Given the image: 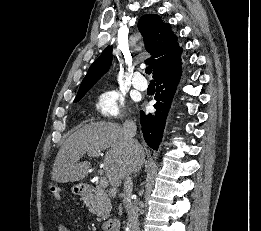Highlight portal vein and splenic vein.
I'll use <instances>...</instances> for the list:
<instances>
[{"mask_svg":"<svg viewBox=\"0 0 261 231\" xmlns=\"http://www.w3.org/2000/svg\"><path fill=\"white\" fill-rule=\"evenodd\" d=\"M102 155L101 151H95V152H92V153H89L88 156H100ZM99 186L101 188H106L108 186V180L106 177L104 176H101L100 179H99Z\"/></svg>","mask_w":261,"mask_h":231,"instance_id":"obj_1","label":"portal vein and splenic vein"}]
</instances>
